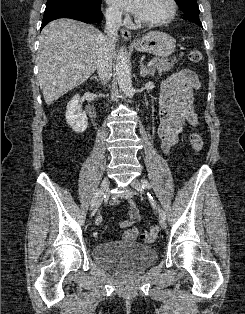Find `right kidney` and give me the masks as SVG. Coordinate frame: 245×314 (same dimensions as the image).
Instances as JSON below:
<instances>
[{
  "label": "right kidney",
  "mask_w": 245,
  "mask_h": 314,
  "mask_svg": "<svg viewBox=\"0 0 245 314\" xmlns=\"http://www.w3.org/2000/svg\"><path fill=\"white\" fill-rule=\"evenodd\" d=\"M80 96L75 95L67 104L66 121L76 133H83L88 126L86 113L82 111Z\"/></svg>",
  "instance_id": "right-kidney-1"
}]
</instances>
